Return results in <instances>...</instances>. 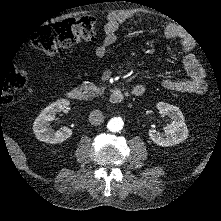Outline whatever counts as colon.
Here are the masks:
<instances>
[{"instance_id": "colon-1", "label": "colon", "mask_w": 221, "mask_h": 221, "mask_svg": "<svg viewBox=\"0 0 221 221\" xmlns=\"http://www.w3.org/2000/svg\"><path fill=\"white\" fill-rule=\"evenodd\" d=\"M97 27L98 20L92 15L66 19L37 29L32 37V43L52 57L79 41L93 40ZM24 80L22 70L10 71L6 77L0 79V98L4 102L12 100L16 94L23 91Z\"/></svg>"}]
</instances>
